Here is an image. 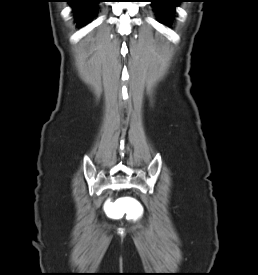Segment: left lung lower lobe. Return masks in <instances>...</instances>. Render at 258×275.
<instances>
[{
	"mask_svg": "<svg viewBox=\"0 0 258 275\" xmlns=\"http://www.w3.org/2000/svg\"><path fill=\"white\" fill-rule=\"evenodd\" d=\"M151 2L159 13L160 21L167 23L171 19L175 5L181 0H151Z\"/></svg>",
	"mask_w": 258,
	"mask_h": 275,
	"instance_id": "0a47b994",
	"label": "left lung lower lobe"
}]
</instances>
